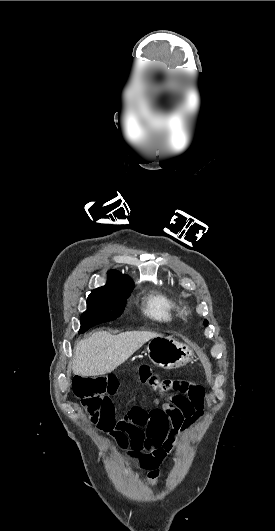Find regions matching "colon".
<instances>
[{
	"label": "colon",
	"mask_w": 275,
	"mask_h": 531,
	"mask_svg": "<svg viewBox=\"0 0 275 531\" xmlns=\"http://www.w3.org/2000/svg\"><path fill=\"white\" fill-rule=\"evenodd\" d=\"M104 386L105 381L99 375L90 378L86 374H79L72 380V387L76 391L77 398L82 402H87L88 408L84 412V419L89 424H96L101 419L100 397L103 396ZM160 389L163 392H168L172 389V384L163 381L160 384ZM156 399L162 400L163 394L157 393Z\"/></svg>",
	"instance_id": "colon-1"
}]
</instances>
